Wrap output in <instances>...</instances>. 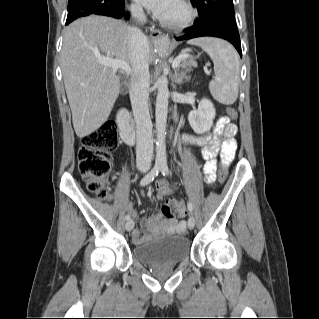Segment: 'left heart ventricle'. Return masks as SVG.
<instances>
[{
    "label": "left heart ventricle",
    "instance_id": "1",
    "mask_svg": "<svg viewBox=\"0 0 319 319\" xmlns=\"http://www.w3.org/2000/svg\"><path fill=\"white\" fill-rule=\"evenodd\" d=\"M184 10L181 7L179 0H172L166 12L161 16L167 19H178L182 17Z\"/></svg>",
    "mask_w": 319,
    "mask_h": 319
}]
</instances>
